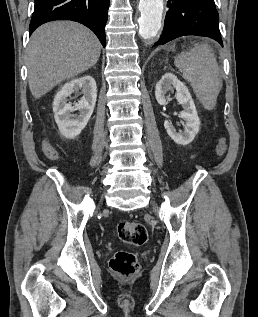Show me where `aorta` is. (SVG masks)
Wrapping results in <instances>:
<instances>
[{"label": "aorta", "instance_id": "obj_1", "mask_svg": "<svg viewBox=\"0 0 258 317\" xmlns=\"http://www.w3.org/2000/svg\"><path fill=\"white\" fill-rule=\"evenodd\" d=\"M163 0H140L139 11L141 13L139 24V35L144 39L156 37L162 22Z\"/></svg>", "mask_w": 258, "mask_h": 317}]
</instances>
